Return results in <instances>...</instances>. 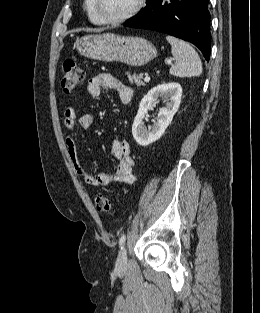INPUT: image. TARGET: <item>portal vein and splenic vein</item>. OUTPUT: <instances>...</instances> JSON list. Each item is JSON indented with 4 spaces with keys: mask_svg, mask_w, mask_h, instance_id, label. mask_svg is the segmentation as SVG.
<instances>
[{
    "mask_svg": "<svg viewBox=\"0 0 260 313\" xmlns=\"http://www.w3.org/2000/svg\"><path fill=\"white\" fill-rule=\"evenodd\" d=\"M144 81L145 82H149L150 81V77L148 75H146L145 78H144Z\"/></svg>",
    "mask_w": 260,
    "mask_h": 313,
    "instance_id": "18ae733b",
    "label": "portal vein and splenic vein"
}]
</instances>
